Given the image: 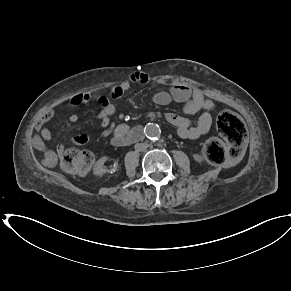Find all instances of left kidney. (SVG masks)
<instances>
[{
  "label": "left kidney",
  "mask_w": 291,
  "mask_h": 291,
  "mask_svg": "<svg viewBox=\"0 0 291 291\" xmlns=\"http://www.w3.org/2000/svg\"><path fill=\"white\" fill-rule=\"evenodd\" d=\"M194 159L198 162L202 161V157L199 154L194 155Z\"/></svg>",
  "instance_id": "left-kidney-1"
}]
</instances>
